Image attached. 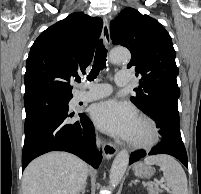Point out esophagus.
Segmentation results:
<instances>
[{
  "label": "esophagus",
  "instance_id": "esophagus-1",
  "mask_svg": "<svg viewBox=\"0 0 201 194\" xmlns=\"http://www.w3.org/2000/svg\"><path fill=\"white\" fill-rule=\"evenodd\" d=\"M102 37L104 44L110 46V27L107 17H103V32ZM117 152V147L110 142H105L103 145V154L106 159H111Z\"/></svg>",
  "mask_w": 201,
  "mask_h": 194
}]
</instances>
